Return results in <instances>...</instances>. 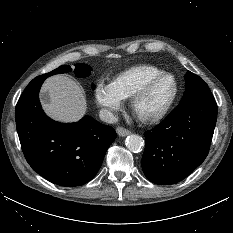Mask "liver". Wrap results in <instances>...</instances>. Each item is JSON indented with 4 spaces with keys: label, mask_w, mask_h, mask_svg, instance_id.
I'll return each mask as SVG.
<instances>
[{
    "label": "liver",
    "mask_w": 233,
    "mask_h": 233,
    "mask_svg": "<svg viewBox=\"0 0 233 233\" xmlns=\"http://www.w3.org/2000/svg\"><path fill=\"white\" fill-rule=\"evenodd\" d=\"M42 92L49 95V101L43 102V109L53 119L76 122L84 116L87 109L84 92L69 77L55 75L48 78L43 84Z\"/></svg>",
    "instance_id": "1"
}]
</instances>
